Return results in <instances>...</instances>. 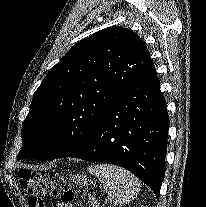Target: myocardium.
Listing matches in <instances>:
<instances>
[{
  "label": "myocardium",
  "mask_w": 206,
  "mask_h": 207,
  "mask_svg": "<svg viewBox=\"0 0 206 207\" xmlns=\"http://www.w3.org/2000/svg\"><path fill=\"white\" fill-rule=\"evenodd\" d=\"M56 135H57L56 132H49V133L47 134L46 138H47V139H52V138H54Z\"/></svg>",
  "instance_id": "1"
}]
</instances>
